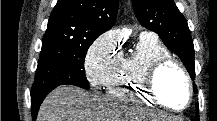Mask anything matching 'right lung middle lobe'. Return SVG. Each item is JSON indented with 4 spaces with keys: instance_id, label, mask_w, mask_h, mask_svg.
I'll use <instances>...</instances> for the list:
<instances>
[{
    "instance_id": "right-lung-middle-lobe-1",
    "label": "right lung middle lobe",
    "mask_w": 217,
    "mask_h": 121,
    "mask_svg": "<svg viewBox=\"0 0 217 121\" xmlns=\"http://www.w3.org/2000/svg\"><path fill=\"white\" fill-rule=\"evenodd\" d=\"M94 40L44 35L31 95L64 84L88 90L84 60Z\"/></svg>"
}]
</instances>
